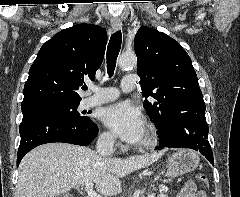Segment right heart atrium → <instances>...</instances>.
Listing matches in <instances>:
<instances>
[{
  "label": "right heart atrium",
  "instance_id": "d8ad5b80",
  "mask_svg": "<svg viewBox=\"0 0 240 197\" xmlns=\"http://www.w3.org/2000/svg\"><path fill=\"white\" fill-rule=\"evenodd\" d=\"M100 141L105 146H113L116 142V137L113 133L106 131L101 134Z\"/></svg>",
  "mask_w": 240,
  "mask_h": 197
}]
</instances>
